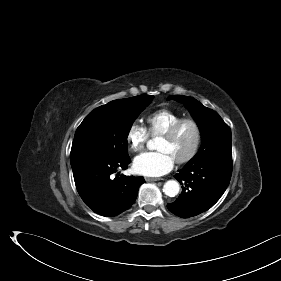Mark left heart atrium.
Masks as SVG:
<instances>
[{"instance_id": "1", "label": "left heart atrium", "mask_w": 281, "mask_h": 281, "mask_svg": "<svg viewBox=\"0 0 281 281\" xmlns=\"http://www.w3.org/2000/svg\"><path fill=\"white\" fill-rule=\"evenodd\" d=\"M174 163L166 151L144 152L134 159L133 168L140 175L158 177L171 171Z\"/></svg>"}]
</instances>
